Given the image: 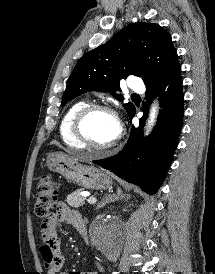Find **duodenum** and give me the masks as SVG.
<instances>
[{"label": "duodenum", "mask_w": 215, "mask_h": 274, "mask_svg": "<svg viewBox=\"0 0 215 274\" xmlns=\"http://www.w3.org/2000/svg\"><path fill=\"white\" fill-rule=\"evenodd\" d=\"M79 233L84 237V238H88V235H87V229L86 228H83L79 231Z\"/></svg>", "instance_id": "1"}]
</instances>
